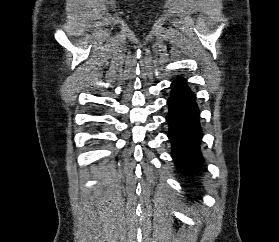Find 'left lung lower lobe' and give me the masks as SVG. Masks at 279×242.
<instances>
[{"mask_svg":"<svg viewBox=\"0 0 279 242\" xmlns=\"http://www.w3.org/2000/svg\"><path fill=\"white\" fill-rule=\"evenodd\" d=\"M171 88L172 94L167 101L169 112L166 116L171 156L180 173L197 178L203 173L204 158L200 150L201 127L195 95L183 78L174 81Z\"/></svg>","mask_w":279,"mask_h":242,"instance_id":"0a47b994","label":"left lung lower lobe"}]
</instances>
